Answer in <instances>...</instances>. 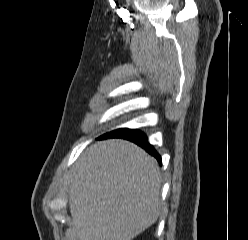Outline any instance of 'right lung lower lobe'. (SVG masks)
<instances>
[{"mask_svg":"<svg viewBox=\"0 0 248 240\" xmlns=\"http://www.w3.org/2000/svg\"><path fill=\"white\" fill-rule=\"evenodd\" d=\"M105 138H123L130 140L136 143L137 145L141 146L143 149H145L149 154L154 156L161 164L160 155L156 152L153 146L149 144L146 136L137 129L135 130L128 128H121V129L113 130L111 132L103 134L98 139H105Z\"/></svg>","mask_w":248,"mask_h":240,"instance_id":"98d812e1","label":"right lung lower lobe"}]
</instances>
